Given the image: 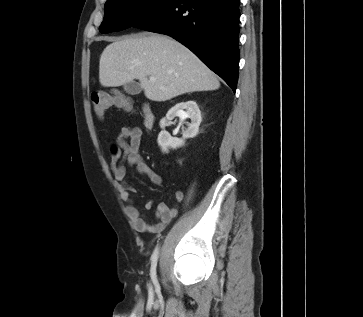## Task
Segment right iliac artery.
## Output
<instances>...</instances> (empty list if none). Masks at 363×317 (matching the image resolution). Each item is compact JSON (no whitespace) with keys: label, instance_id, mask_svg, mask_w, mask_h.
<instances>
[{"label":"right iliac artery","instance_id":"82829eb1","mask_svg":"<svg viewBox=\"0 0 363 317\" xmlns=\"http://www.w3.org/2000/svg\"><path fill=\"white\" fill-rule=\"evenodd\" d=\"M158 253H159V248L156 247L151 256V278L153 281H156V266H157Z\"/></svg>","mask_w":363,"mask_h":317}]
</instances>
